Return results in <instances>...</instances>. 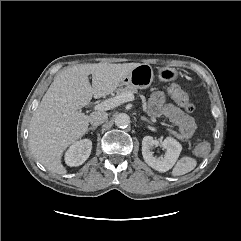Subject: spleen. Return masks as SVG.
<instances>
[{
    "mask_svg": "<svg viewBox=\"0 0 241 241\" xmlns=\"http://www.w3.org/2000/svg\"><path fill=\"white\" fill-rule=\"evenodd\" d=\"M197 165V161L192 157H182L174 166L172 176H181L192 171Z\"/></svg>",
    "mask_w": 241,
    "mask_h": 241,
    "instance_id": "spleen-1",
    "label": "spleen"
}]
</instances>
